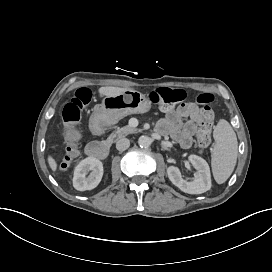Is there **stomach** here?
<instances>
[{
  "instance_id": "obj_1",
  "label": "stomach",
  "mask_w": 272,
  "mask_h": 272,
  "mask_svg": "<svg viewBox=\"0 0 272 272\" xmlns=\"http://www.w3.org/2000/svg\"><path fill=\"white\" fill-rule=\"evenodd\" d=\"M102 106L118 118H122L129 114L148 112L151 108V101L141 92L127 89L121 94L106 96L102 101Z\"/></svg>"
}]
</instances>
